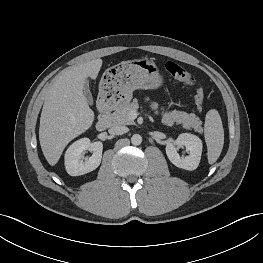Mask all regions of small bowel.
Instances as JSON below:
<instances>
[{
  "label": "small bowel",
  "mask_w": 263,
  "mask_h": 263,
  "mask_svg": "<svg viewBox=\"0 0 263 263\" xmlns=\"http://www.w3.org/2000/svg\"><path fill=\"white\" fill-rule=\"evenodd\" d=\"M153 107H154V108H156V107H157V105H156V104H153Z\"/></svg>",
  "instance_id": "small-bowel-1"
}]
</instances>
